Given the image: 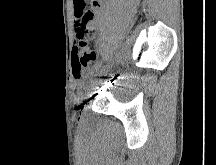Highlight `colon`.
<instances>
[{
    "instance_id": "1",
    "label": "colon",
    "mask_w": 216,
    "mask_h": 165,
    "mask_svg": "<svg viewBox=\"0 0 216 165\" xmlns=\"http://www.w3.org/2000/svg\"><path fill=\"white\" fill-rule=\"evenodd\" d=\"M92 18V13L84 14V22L75 31L79 44L74 50L73 68L76 75L86 67H96V54L88 47L87 40L92 36L91 31L87 29L86 22Z\"/></svg>"
}]
</instances>
